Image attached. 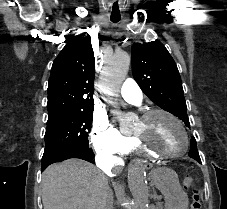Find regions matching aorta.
<instances>
[{"label": "aorta", "instance_id": "1", "mask_svg": "<svg viewBox=\"0 0 227 209\" xmlns=\"http://www.w3.org/2000/svg\"><path fill=\"white\" fill-rule=\"evenodd\" d=\"M130 55L119 51L108 58L101 71L100 88L108 96H115L124 81L130 66ZM128 186L135 201L136 209H147L149 190L146 180L145 166L134 161L128 166Z\"/></svg>", "mask_w": 227, "mask_h": 209}]
</instances>
